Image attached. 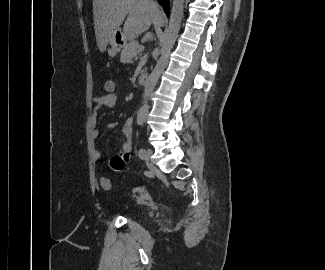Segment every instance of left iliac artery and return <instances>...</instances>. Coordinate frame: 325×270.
<instances>
[{"mask_svg":"<svg viewBox=\"0 0 325 270\" xmlns=\"http://www.w3.org/2000/svg\"><path fill=\"white\" fill-rule=\"evenodd\" d=\"M144 153H145V149L144 148H140L139 151H138L139 157L140 158H143Z\"/></svg>","mask_w":325,"mask_h":270,"instance_id":"obj_1","label":"left iliac artery"}]
</instances>
